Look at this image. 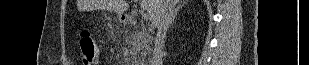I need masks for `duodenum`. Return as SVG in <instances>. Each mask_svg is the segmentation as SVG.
<instances>
[{"instance_id":"1","label":"duodenum","mask_w":309,"mask_h":65,"mask_svg":"<svg viewBox=\"0 0 309 65\" xmlns=\"http://www.w3.org/2000/svg\"><path fill=\"white\" fill-rule=\"evenodd\" d=\"M123 22L127 26H132L135 24V19L131 16H125L123 17Z\"/></svg>"}]
</instances>
